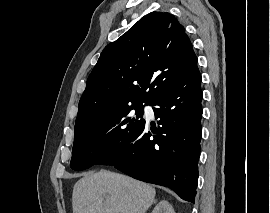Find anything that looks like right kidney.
I'll return each instance as SVG.
<instances>
[{"instance_id":"1","label":"right kidney","mask_w":270,"mask_h":213,"mask_svg":"<svg viewBox=\"0 0 270 213\" xmlns=\"http://www.w3.org/2000/svg\"><path fill=\"white\" fill-rule=\"evenodd\" d=\"M152 213H175V211L168 201L162 200L155 206Z\"/></svg>"}]
</instances>
